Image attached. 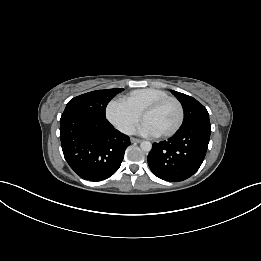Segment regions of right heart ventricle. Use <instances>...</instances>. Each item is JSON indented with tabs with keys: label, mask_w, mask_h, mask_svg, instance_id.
Wrapping results in <instances>:
<instances>
[{
	"label": "right heart ventricle",
	"mask_w": 261,
	"mask_h": 261,
	"mask_svg": "<svg viewBox=\"0 0 261 261\" xmlns=\"http://www.w3.org/2000/svg\"><path fill=\"white\" fill-rule=\"evenodd\" d=\"M168 93L161 89L144 88L129 92L122 100L139 114L154 101L168 97Z\"/></svg>",
	"instance_id": "e07e8e85"
}]
</instances>
